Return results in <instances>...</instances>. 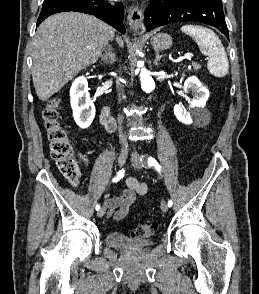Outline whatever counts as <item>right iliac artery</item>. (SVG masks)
<instances>
[{"mask_svg":"<svg viewBox=\"0 0 259 294\" xmlns=\"http://www.w3.org/2000/svg\"><path fill=\"white\" fill-rule=\"evenodd\" d=\"M124 173H125V170H124V169L120 170V171L117 173V176L113 179V182H117V181H119L121 178H123V177H124ZM95 208H96V210H99V209H100V205L97 204Z\"/></svg>","mask_w":259,"mask_h":294,"instance_id":"1","label":"right iliac artery"}]
</instances>
